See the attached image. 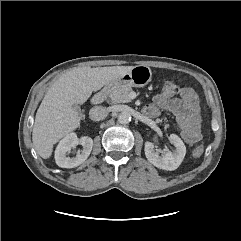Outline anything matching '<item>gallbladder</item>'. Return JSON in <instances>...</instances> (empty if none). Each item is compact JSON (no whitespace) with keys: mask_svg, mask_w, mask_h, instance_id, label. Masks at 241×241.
<instances>
[{"mask_svg":"<svg viewBox=\"0 0 241 241\" xmlns=\"http://www.w3.org/2000/svg\"><path fill=\"white\" fill-rule=\"evenodd\" d=\"M74 109L79 115H81L82 112H81V108L79 106L74 105Z\"/></svg>","mask_w":241,"mask_h":241,"instance_id":"1","label":"gallbladder"}]
</instances>
